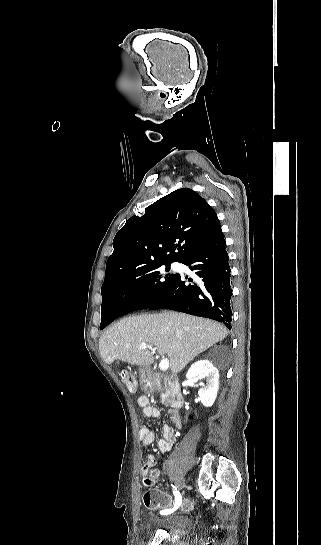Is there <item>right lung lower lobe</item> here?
<instances>
[{
    "label": "right lung lower lobe",
    "instance_id": "1",
    "mask_svg": "<svg viewBox=\"0 0 321 545\" xmlns=\"http://www.w3.org/2000/svg\"><path fill=\"white\" fill-rule=\"evenodd\" d=\"M221 226L196 246L181 262L200 277L186 285L184 277L177 274L167 289L153 302L144 304L131 296L113 295L101 306V317L105 323L140 309H172L195 316L223 322L231 329L232 311L230 298L229 256Z\"/></svg>",
    "mask_w": 321,
    "mask_h": 545
}]
</instances>
